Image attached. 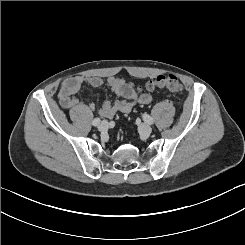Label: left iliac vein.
Masks as SVG:
<instances>
[{"mask_svg": "<svg viewBox=\"0 0 245 245\" xmlns=\"http://www.w3.org/2000/svg\"><path fill=\"white\" fill-rule=\"evenodd\" d=\"M139 131L144 135H149L151 133V127L146 123H142L139 126Z\"/></svg>", "mask_w": 245, "mask_h": 245, "instance_id": "1", "label": "left iliac vein"}]
</instances>
